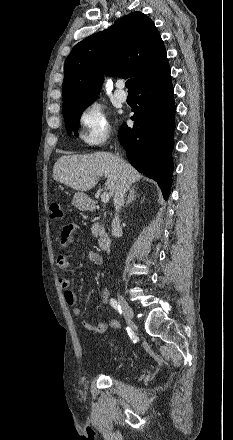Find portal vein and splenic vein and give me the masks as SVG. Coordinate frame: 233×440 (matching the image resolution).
I'll return each instance as SVG.
<instances>
[{
	"instance_id": "obj_1",
	"label": "portal vein and splenic vein",
	"mask_w": 233,
	"mask_h": 440,
	"mask_svg": "<svg viewBox=\"0 0 233 440\" xmlns=\"http://www.w3.org/2000/svg\"><path fill=\"white\" fill-rule=\"evenodd\" d=\"M109 193H107V192H104V193H102V195H101V200H102V202L103 203H107L108 201H109Z\"/></svg>"
}]
</instances>
